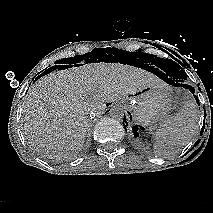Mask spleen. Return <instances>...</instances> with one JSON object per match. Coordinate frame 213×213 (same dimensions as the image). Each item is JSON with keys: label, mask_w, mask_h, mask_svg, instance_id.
<instances>
[{"label": "spleen", "mask_w": 213, "mask_h": 213, "mask_svg": "<svg viewBox=\"0 0 213 213\" xmlns=\"http://www.w3.org/2000/svg\"><path fill=\"white\" fill-rule=\"evenodd\" d=\"M197 105L191 99L174 115L167 116L155 132L154 148L164 152L179 150L188 144L197 128Z\"/></svg>", "instance_id": "spleen-1"}]
</instances>
